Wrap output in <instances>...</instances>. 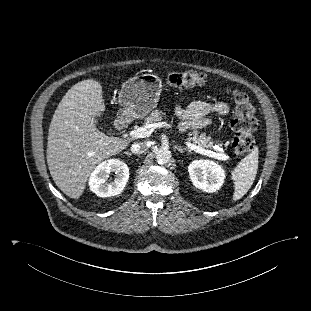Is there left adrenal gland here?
<instances>
[{
	"mask_svg": "<svg viewBox=\"0 0 311 311\" xmlns=\"http://www.w3.org/2000/svg\"><path fill=\"white\" fill-rule=\"evenodd\" d=\"M175 148L180 152V153H183L185 151L189 152V153H192L191 149L187 148V147H181L179 145H175Z\"/></svg>",
	"mask_w": 311,
	"mask_h": 311,
	"instance_id": "obj_1",
	"label": "left adrenal gland"
}]
</instances>
